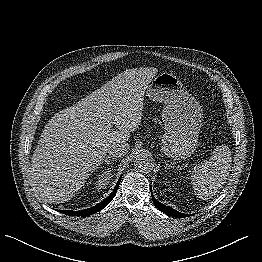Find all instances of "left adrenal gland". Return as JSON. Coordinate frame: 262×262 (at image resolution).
<instances>
[{"label": "left adrenal gland", "instance_id": "obj_1", "mask_svg": "<svg viewBox=\"0 0 262 262\" xmlns=\"http://www.w3.org/2000/svg\"><path fill=\"white\" fill-rule=\"evenodd\" d=\"M164 162H165L166 167L173 168V166L169 165L165 160H164Z\"/></svg>", "mask_w": 262, "mask_h": 262}]
</instances>
